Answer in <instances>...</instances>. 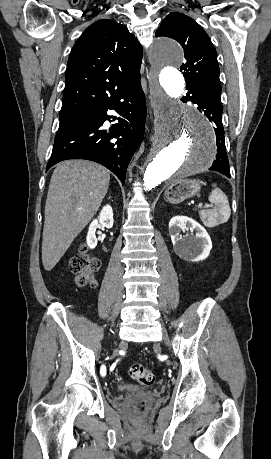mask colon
<instances>
[{
    "label": "colon",
    "instance_id": "5ec220e1",
    "mask_svg": "<svg viewBox=\"0 0 271 459\" xmlns=\"http://www.w3.org/2000/svg\"><path fill=\"white\" fill-rule=\"evenodd\" d=\"M71 2L76 4L79 0H71ZM99 266V260L89 254V249L85 244L80 245L78 253L70 260V269L75 275L77 284L82 287L95 285L94 273L98 270ZM129 373L140 384L149 386L154 383L153 373L139 363L133 364L130 367Z\"/></svg>",
    "mask_w": 271,
    "mask_h": 459
}]
</instances>
